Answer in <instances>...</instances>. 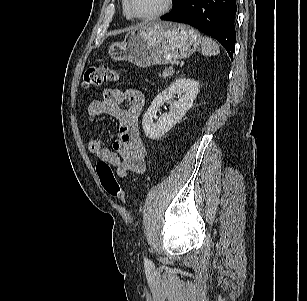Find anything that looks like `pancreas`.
Wrapping results in <instances>:
<instances>
[{"label": "pancreas", "mask_w": 307, "mask_h": 301, "mask_svg": "<svg viewBox=\"0 0 307 301\" xmlns=\"http://www.w3.org/2000/svg\"><path fill=\"white\" fill-rule=\"evenodd\" d=\"M172 75H173V71H172L171 68H169V69H164V71L162 72V77H163V78H168V77H170V76H172ZM159 76L161 77L160 74H159Z\"/></svg>", "instance_id": "cf45deb5"}]
</instances>
